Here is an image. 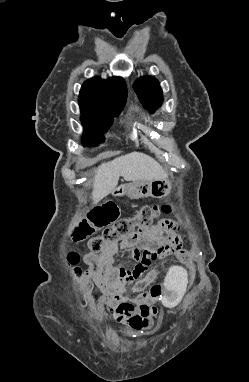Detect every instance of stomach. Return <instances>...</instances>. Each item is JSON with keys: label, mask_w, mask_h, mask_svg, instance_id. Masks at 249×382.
Segmentation results:
<instances>
[{"label": "stomach", "mask_w": 249, "mask_h": 382, "mask_svg": "<svg viewBox=\"0 0 249 382\" xmlns=\"http://www.w3.org/2000/svg\"><path fill=\"white\" fill-rule=\"evenodd\" d=\"M171 190V184L167 180L154 181H134L129 184L121 185L113 194L116 196L126 195L131 199L140 198H163Z\"/></svg>", "instance_id": "stomach-1"}]
</instances>
